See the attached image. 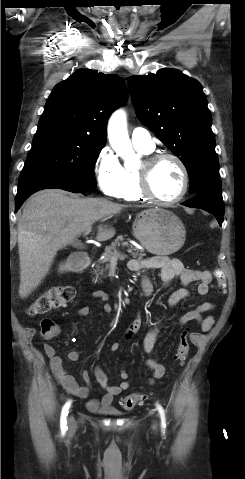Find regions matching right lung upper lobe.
Instances as JSON below:
<instances>
[{
    "instance_id": "obj_1",
    "label": "right lung upper lobe",
    "mask_w": 245,
    "mask_h": 479,
    "mask_svg": "<svg viewBox=\"0 0 245 479\" xmlns=\"http://www.w3.org/2000/svg\"><path fill=\"white\" fill-rule=\"evenodd\" d=\"M126 98V84L118 75L80 69L55 86L38 130L63 129L105 144L107 120Z\"/></svg>"
}]
</instances>
